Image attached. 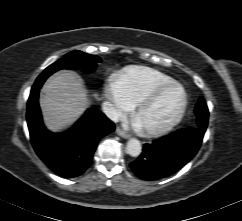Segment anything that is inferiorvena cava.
Instances as JSON below:
<instances>
[{
  "label": "inferior vena cava",
  "instance_id": "obj_1",
  "mask_svg": "<svg viewBox=\"0 0 242 221\" xmlns=\"http://www.w3.org/2000/svg\"><path fill=\"white\" fill-rule=\"evenodd\" d=\"M102 109L104 114L112 121L117 122L119 120L120 114L118 110H116L113 104H111L110 102L108 101L103 102Z\"/></svg>",
  "mask_w": 242,
  "mask_h": 221
}]
</instances>
